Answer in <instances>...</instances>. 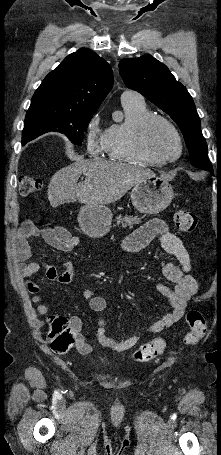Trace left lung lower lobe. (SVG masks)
<instances>
[{"label":"left lung lower lobe","mask_w":221,"mask_h":455,"mask_svg":"<svg viewBox=\"0 0 221 455\" xmlns=\"http://www.w3.org/2000/svg\"><path fill=\"white\" fill-rule=\"evenodd\" d=\"M209 171H210V172H213V168L211 167V168L209 169Z\"/></svg>","instance_id":"left-lung-lower-lobe-1"}]
</instances>
